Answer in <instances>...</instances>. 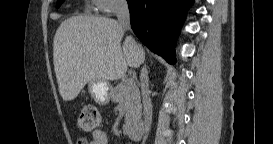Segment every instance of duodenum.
Listing matches in <instances>:
<instances>
[{
	"label": "duodenum",
	"instance_id": "duodenum-1",
	"mask_svg": "<svg viewBox=\"0 0 273 144\" xmlns=\"http://www.w3.org/2000/svg\"><path fill=\"white\" fill-rule=\"evenodd\" d=\"M125 129L129 137L138 141L143 137V128L140 124H126Z\"/></svg>",
	"mask_w": 273,
	"mask_h": 144
}]
</instances>
